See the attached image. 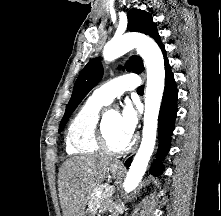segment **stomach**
Returning a JSON list of instances; mask_svg holds the SVG:
<instances>
[{
    "label": "stomach",
    "instance_id": "obj_1",
    "mask_svg": "<svg viewBox=\"0 0 221 216\" xmlns=\"http://www.w3.org/2000/svg\"><path fill=\"white\" fill-rule=\"evenodd\" d=\"M109 169L113 174H118L121 172V169L114 164H111ZM93 215L94 214L91 213L90 211H86L82 216H93Z\"/></svg>",
    "mask_w": 221,
    "mask_h": 216
}]
</instances>
